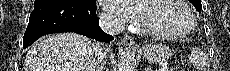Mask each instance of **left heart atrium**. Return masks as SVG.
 <instances>
[{"label": "left heart atrium", "mask_w": 230, "mask_h": 71, "mask_svg": "<svg viewBox=\"0 0 230 71\" xmlns=\"http://www.w3.org/2000/svg\"><path fill=\"white\" fill-rule=\"evenodd\" d=\"M141 2L134 0H106L105 6L109 11L118 14L125 20L138 22L144 19Z\"/></svg>", "instance_id": "39dd6f15"}]
</instances>
